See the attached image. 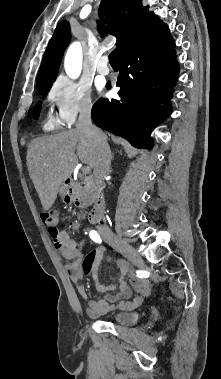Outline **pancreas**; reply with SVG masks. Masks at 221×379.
Wrapping results in <instances>:
<instances>
[{
  "label": "pancreas",
  "mask_w": 221,
  "mask_h": 379,
  "mask_svg": "<svg viewBox=\"0 0 221 379\" xmlns=\"http://www.w3.org/2000/svg\"><path fill=\"white\" fill-rule=\"evenodd\" d=\"M85 185L81 187L78 191L79 195L84 196L86 199H93L95 188L91 178H86L83 182Z\"/></svg>",
  "instance_id": "1"
}]
</instances>
